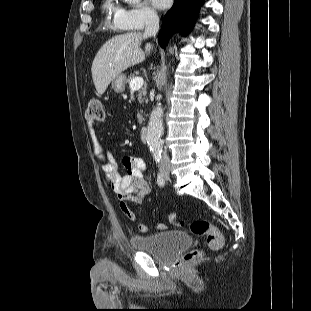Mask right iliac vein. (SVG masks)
<instances>
[{"label": "right iliac vein", "mask_w": 311, "mask_h": 311, "mask_svg": "<svg viewBox=\"0 0 311 311\" xmlns=\"http://www.w3.org/2000/svg\"><path fill=\"white\" fill-rule=\"evenodd\" d=\"M163 174L167 175L169 173V168L162 169Z\"/></svg>", "instance_id": "63e3f726"}]
</instances>
